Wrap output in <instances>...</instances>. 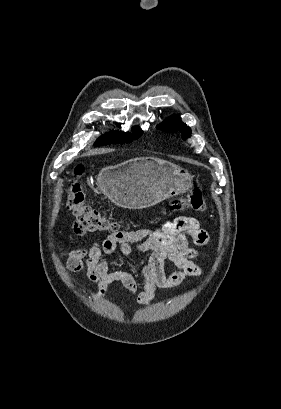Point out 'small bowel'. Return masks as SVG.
<instances>
[{"label":"small bowel","instance_id":"c3829d8e","mask_svg":"<svg viewBox=\"0 0 281 409\" xmlns=\"http://www.w3.org/2000/svg\"><path fill=\"white\" fill-rule=\"evenodd\" d=\"M74 231L85 234V227L76 222ZM206 245L207 232L194 217H177L158 228H140L118 231L97 239L91 246L72 250L68 265L74 272H84L88 280L97 285V296L104 297L108 287L121 283L132 297L142 305L155 298L158 289H171L181 285L187 278L199 276L201 268L194 262L198 251L190 246ZM119 251L123 255L132 252L148 253L149 258L141 268L143 288L137 294L138 283L135 276L125 270H110L106 256ZM170 261L178 270L167 274L165 262ZM137 294V295H136Z\"/></svg>","mask_w":281,"mask_h":409}]
</instances>
